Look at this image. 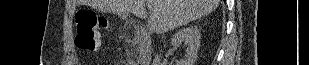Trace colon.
<instances>
[{"label": "colon", "mask_w": 309, "mask_h": 65, "mask_svg": "<svg viewBox=\"0 0 309 65\" xmlns=\"http://www.w3.org/2000/svg\"><path fill=\"white\" fill-rule=\"evenodd\" d=\"M77 35L76 46L83 51H97L101 47L99 32L106 29L109 22L106 17L91 11L81 10L75 15Z\"/></svg>", "instance_id": "colon-1"}]
</instances>
